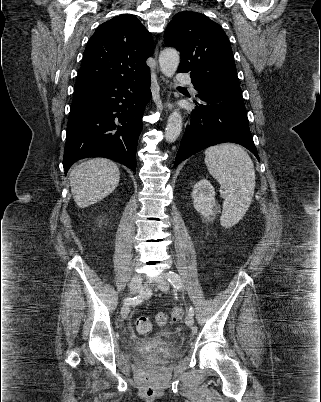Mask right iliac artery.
I'll return each instance as SVG.
<instances>
[{
	"label": "right iliac artery",
	"instance_id": "obj_1",
	"mask_svg": "<svg viewBox=\"0 0 321 402\" xmlns=\"http://www.w3.org/2000/svg\"><path fill=\"white\" fill-rule=\"evenodd\" d=\"M140 298H141L140 296H139L138 298H137V297H134L133 299H131V298H125L123 301H124V303H129V304H131V303H138Z\"/></svg>",
	"mask_w": 321,
	"mask_h": 402
}]
</instances>
